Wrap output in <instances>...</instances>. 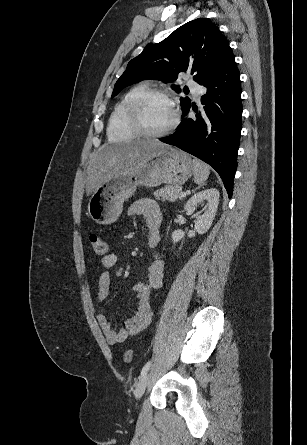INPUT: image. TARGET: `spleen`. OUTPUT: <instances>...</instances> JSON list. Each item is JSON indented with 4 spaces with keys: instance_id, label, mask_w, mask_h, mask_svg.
Segmentation results:
<instances>
[{
    "instance_id": "3e777b00",
    "label": "spleen",
    "mask_w": 307,
    "mask_h": 445,
    "mask_svg": "<svg viewBox=\"0 0 307 445\" xmlns=\"http://www.w3.org/2000/svg\"><path fill=\"white\" fill-rule=\"evenodd\" d=\"M193 174L196 184H202L210 174V166L198 158H193Z\"/></svg>"
}]
</instances>
